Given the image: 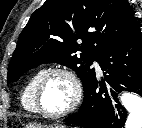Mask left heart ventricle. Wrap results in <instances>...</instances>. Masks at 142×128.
Instances as JSON below:
<instances>
[{
	"label": "left heart ventricle",
	"mask_w": 142,
	"mask_h": 128,
	"mask_svg": "<svg viewBox=\"0 0 142 128\" xmlns=\"http://www.w3.org/2000/svg\"><path fill=\"white\" fill-rule=\"evenodd\" d=\"M72 95L69 79L62 74H53L47 77L42 85L40 104L47 112H61L69 106Z\"/></svg>",
	"instance_id": "left-heart-ventricle-1"
}]
</instances>
